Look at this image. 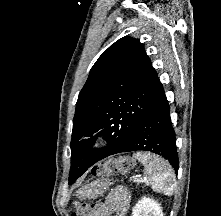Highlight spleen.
<instances>
[{
  "instance_id": "obj_1",
  "label": "spleen",
  "mask_w": 221,
  "mask_h": 216,
  "mask_svg": "<svg viewBox=\"0 0 221 216\" xmlns=\"http://www.w3.org/2000/svg\"><path fill=\"white\" fill-rule=\"evenodd\" d=\"M134 157L144 166V175L154 191L167 196H171L174 193L176 179L174 171L168 162L149 153H136Z\"/></svg>"
}]
</instances>
